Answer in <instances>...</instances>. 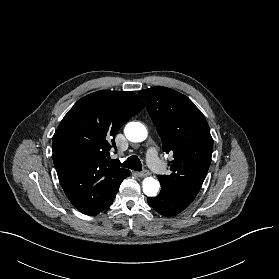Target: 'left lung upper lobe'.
I'll use <instances>...</instances> for the list:
<instances>
[{"label": "left lung upper lobe", "mask_w": 279, "mask_h": 279, "mask_svg": "<svg viewBox=\"0 0 279 279\" xmlns=\"http://www.w3.org/2000/svg\"><path fill=\"white\" fill-rule=\"evenodd\" d=\"M161 137L163 151L173 153L172 173L161 185L196 196L211 163L213 139L202 112L185 95L156 86L139 92Z\"/></svg>", "instance_id": "left-lung-upper-lobe-1"}]
</instances>
